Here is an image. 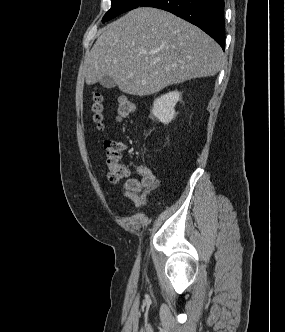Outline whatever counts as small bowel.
I'll return each mask as SVG.
<instances>
[{
    "label": "small bowel",
    "instance_id": "obj_1",
    "mask_svg": "<svg viewBox=\"0 0 285 332\" xmlns=\"http://www.w3.org/2000/svg\"><path fill=\"white\" fill-rule=\"evenodd\" d=\"M136 173L140 179L129 178L123 185V193L136 208L145 204L146 197L157 189L160 185V180L154 175L152 170L145 165H135Z\"/></svg>",
    "mask_w": 285,
    "mask_h": 332
}]
</instances>
